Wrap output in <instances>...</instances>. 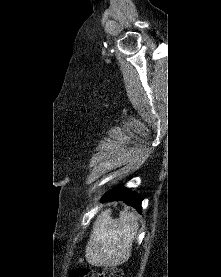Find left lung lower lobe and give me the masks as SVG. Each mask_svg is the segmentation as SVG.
<instances>
[{
    "label": "left lung lower lobe",
    "mask_w": 221,
    "mask_h": 277,
    "mask_svg": "<svg viewBox=\"0 0 221 277\" xmlns=\"http://www.w3.org/2000/svg\"><path fill=\"white\" fill-rule=\"evenodd\" d=\"M106 201H124L127 205L133 206L138 211H141V199L135 192L130 191L128 188L122 185L112 188L103 196Z\"/></svg>",
    "instance_id": "obj_1"
}]
</instances>
